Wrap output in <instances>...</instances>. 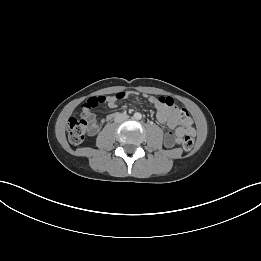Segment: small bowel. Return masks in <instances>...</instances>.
I'll use <instances>...</instances> for the list:
<instances>
[{
    "instance_id": "small-bowel-1",
    "label": "small bowel",
    "mask_w": 261,
    "mask_h": 261,
    "mask_svg": "<svg viewBox=\"0 0 261 261\" xmlns=\"http://www.w3.org/2000/svg\"><path fill=\"white\" fill-rule=\"evenodd\" d=\"M148 99L156 108L157 120L160 123L166 125L168 128L174 129L173 132H168L167 134H165L164 145L167 148H172L176 144H179L185 135L195 134V130L192 126L191 119L188 118L185 121L178 120L175 114L176 109L173 105L164 103L161 101L160 98L154 96H150ZM105 102L110 108H113L116 105L115 99L113 97L106 98ZM89 117L92 119L90 133L96 134L100 128V124L93 120L92 115L90 113ZM110 119L111 116H107L105 119L101 121V124Z\"/></svg>"
}]
</instances>
